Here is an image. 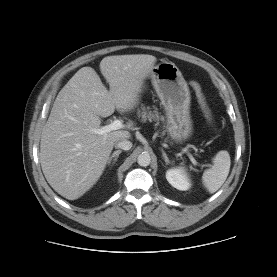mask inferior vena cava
I'll list each match as a JSON object with an SVG mask.
<instances>
[{
    "label": "inferior vena cava",
    "mask_w": 277,
    "mask_h": 277,
    "mask_svg": "<svg viewBox=\"0 0 277 277\" xmlns=\"http://www.w3.org/2000/svg\"><path fill=\"white\" fill-rule=\"evenodd\" d=\"M115 147L123 150H130L132 143L127 139H121L115 143Z\"/></svg>",
    "instance_id": "obj_1"
}]
</instances>
